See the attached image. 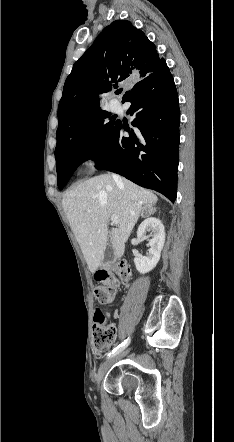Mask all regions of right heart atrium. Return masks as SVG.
Listing matches in <instances>:
<instances>
[{
  "instance_id": "right-heart-atrium-1",
  "label": "right heart atrium",
  "mask_w": 234,
  "mask_h": 442,
  "mask_svg": "<svg viewBox=\"0 0 234 442\" xmlns=\"http://www.w3.org/2000/svg\"><path fill=\"white\" fill-rule=\"evenodd\" d=\"M95 163H96V159H95V157H91V158L89 159V161H88V165H89V167H91V168H93V167L95 166Z\"/></svg>"
}]
</instances>
